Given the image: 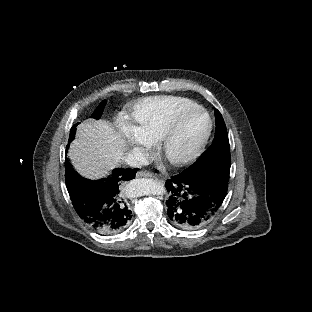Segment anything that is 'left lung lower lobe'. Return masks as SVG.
<instances>
[{"label": "left lung lower lobe", "mask_w": 312, "mask_h": 312, "mask_svg": "<svg viewBox=\"0 0 312 312\" xmlns=\"http://www.w3.org/2000/svg\"><path fill=\"white\" fill-rule=\"evenodd\" d=\"M230 161L190 169L166 181L171 195L166 201L169 221L184 229L200 228L219 212L227 194Z\"/></svg>", "instance_id": "left-lung-lower-lobe-1"}]
</instances>
